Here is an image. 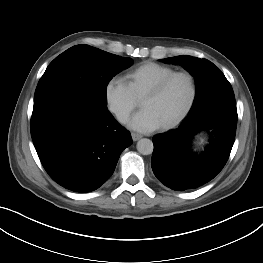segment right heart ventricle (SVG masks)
Returning a JSON list of instances; mask_svg holds the SVG:
<instances>
[{"label": "right heart ventricle", "mask_w": 263, "mask_h": 263, "mask_svg": "<svg viewBox=\"0 0 263 263\" xmlns=\"http://www.w3.org/2000/svg\"><path fill=\"white\" fill-rule=\"evenodd\" d=\"M173 72L175 70L169 66L155 62H145L127 71L123 75V81L132 95L140 100L159 80Z\"/></svg>", "instance_id": "1"}]
</instances>
